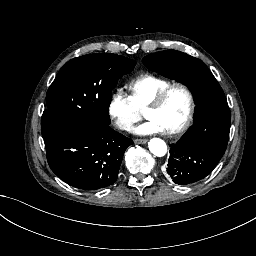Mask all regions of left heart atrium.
Listing matches in <instances>:
<instances>
[{
    "label": "left heart atrium",
    "mask_w": 256,
    "mask_h": 256,
    "mask_svg": "<svg viewBox=\"0 0 256 256\" xmlns=\"http://www.w3.org/2000/svg\"><path fill=\"white\" fill-rule=\"evenodd\" d=\"M142 130L146 133L167 134L170 132L166 122L159 117H151L142 125Z\"/></svg>",
    "instance_id": "obj_1"
}]
</instances>
